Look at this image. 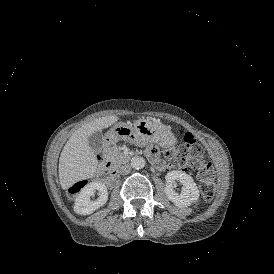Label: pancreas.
Instances as JSON below:
<instances>
[{
	"instance_id": "1",
	"label": "pancreas",
	"mask_w": 274,
	"mask_h": 274,
	"mask_svg": "<svg viewBox=\"0 0 274 274\" xmlns=\"http://www.w3.org/2000/svg\"><path fill=\"white\" fill-rule=\"evenodd\" d=\"M104 156L112 162L113 167L115 168H118L129 160L128 157L120 153L116 146L105 148Z\"/></svg>"
}]
</instances>
